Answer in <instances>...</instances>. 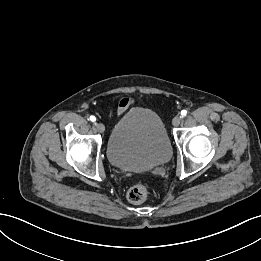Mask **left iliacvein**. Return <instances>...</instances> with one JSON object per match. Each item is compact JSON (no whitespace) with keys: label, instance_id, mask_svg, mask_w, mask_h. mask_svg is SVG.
Returning a JSON list of instances; mask_svg holds the SVG:
<instances>
[{"label":"left iliac vein","instance_id":"left-iliac-vein-1","mask_svg":"<svg viewBox=\"0 0 261 261\" xmlns=\"http://www.w3.org/2000/svg\"><path fill=\"white\" fill-rule=\"evenodd\" d=\"M181 122H182V117L181 116H176L172 120V124L175 127L179 126Z\"/></svg>","mask_w":261,"mask_h":261}]
</instances>
